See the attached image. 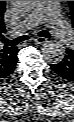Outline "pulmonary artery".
Listing matches in <instances>:
<instances>
[{"mask_svg":"<svg viewBox=\"0 0 74 122\" xmlns=\"http://www.w3.org/2000/svg\"><path fill=\"white\" fill-rule=\"evenodd\" d=\"M42 22L48 23L61 43L72 42V31L59 13L58 1H39L36 9L18 25L17 29H30Z\"/></svg>","mask_w":74,"mask_h":122,"instance_id":"1","label":"pulmonary artery"}]
</instances>
